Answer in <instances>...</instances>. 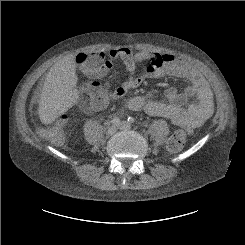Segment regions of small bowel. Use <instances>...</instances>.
<instances>
[{"label":"small bowel","instance_id":"c3829d8e","mask_svg":"<svg viewBox=\"0 0 245 245\" xmlns=\"http://www.w3.org/2000/svg\"><path fill=\"white\" fill-rule=\"evenodd\" d=\"M103 65L95 70L98 76L106 74L112 67L110 58H121L128 71L127 78L108 93H99L91 85L86 87L87 101L80 104V109L91 114L104 109L111 99L124 97L129 91L142 87L148 80L164 77H180L190 81V85L179 90L169 88L165 96L169 102H161L152 95L133 97L128 102V108L133 111H143L149 115H161L169 119L175 126L192 131L203 124L212 113L213 96L204 77L183 58L173 54L152 51L134 52L127 46L111 49L108 53L100 52ZM147 61V67L137 71V64ZM72 68L66 70L72 74ZM195 97L196 102L186 105V100Z\"/></svg>","mask_w":245,"mask_h":245}]
</instances>
